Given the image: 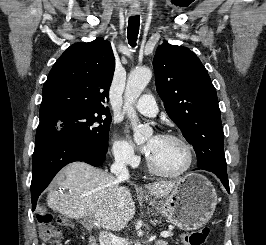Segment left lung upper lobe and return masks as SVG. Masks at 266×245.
I'll return each instance as SVG.
<instances>
[{
	"label": "left lung upper lobe",
	"mask_w": 266,
	"mask_h": 245,
	"mask_svg": "<svg viewBox=\"0 0 266 245\" xmlns=\"http://www.w3.org/2000/svg\"><path fill=\"white\" fill-rule=\"evenodd\" d=\"M157 92L169 117L196 151L198 168L227 174L216 89L195 53L163 44L153 59Z\"/></svg>",
	"instance_id": "5c2ea615"
}]
</instances>
